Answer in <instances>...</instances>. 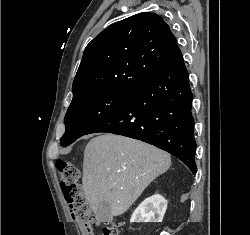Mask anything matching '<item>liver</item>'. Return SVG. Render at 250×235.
I'll return each instance as SVG.
<instances>
[{
	"instance_id": "liver-1",
	"label": "liver",
	"mask_w": 250,
	"mask_h": 235,
	"mask_svg": "<svg viewBox=\"0 0 250 235\" xmlns=\"http://www.w3.org/2000/svg\"><path fill=\"white\" fill-rule=\"evenodd\" d=\"M170 166V155L150 144L111 133L92 138L84 151L82 184L96 219L103 201L113 216L126 212Z\"/></svg>"
}]
</instances>
